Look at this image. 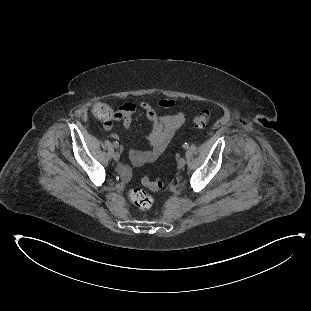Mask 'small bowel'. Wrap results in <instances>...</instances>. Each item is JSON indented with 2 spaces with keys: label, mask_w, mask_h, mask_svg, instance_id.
<instances>
[{
  "label": "small bowel",
  "mask_w": 311,
  "mask_h": 311,
  "mask_svg": "<svg viewBox=\"0 0 311 311\" xmlns=\"http://www.w3.org/2000/svg\"><path fill=\"white\" fill-rule=\"evenodd\" d=\"M157 105L164 109H171L174 107V101L162 99L158 101ZM139 109L144 112L150 123V130L147 135L150 148L149 150H132L130 152V161L137 167L153 162L160 157L177 130L183 125L186 117L183 112L160 116L152 103L146 100H142L138 104L126 102L120 104L116 110L118 119L121 120L124 128L127 129L131 126L133 117ZM105 128L111 130L112 127ZM111 136L113 138L117 137L116 134H112Z\"/></svg>",
  "instance_id": "1"
}]
</instances>
